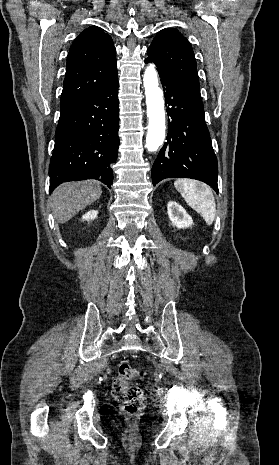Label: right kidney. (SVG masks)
<instances>
[{
	"label": "right kidney",
	"instance_id": "ca27d5eb",
	"mask_svg": "<svg viewBox=\"0 0 279 465\" xmlns=\"http://www.w3.org/2000/svg\"><path fill=\"white\" fill-rule=\"evenodd\" d=\"M98 211L97 210H90L86 214L82 216V220L90 221L97 218Z\"/></svg>",
	"mask_w": 279,
	"mask_h": 465
}]
</instances>
